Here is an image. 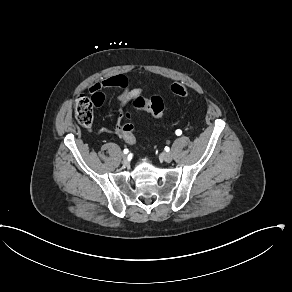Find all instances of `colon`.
Listing matches in <instances>:
<instances>
[{
    "mask_svg": "<svg viewBox=\"0 0 292 292\" xmlns=\"http://www.w3.org/2000/svg\"><path fill=\"white\" fill-rule=\"evenodd\" d=\"M175 84L174 82L172 83ZM173 92L177 95H184L185 91L179 83L173 87ZM189 93L188 91L186 92ZM104 95L102 92H94L91 96L80 95L74 102L73 115L80 125L90 127L94 119V109L102 105ZM134 108L138 111H147L156 118H161L164 114V102L159 96H153L149 99L139 97L134 101ZM127 122L124 124L122 133L123 139L127 144L135 143V137L132 133L133 124L131 123V113L126 114Z\"/></svg>",
    "mask_w": 292,
    "mask_h": 292,
    "instance_id": "colon-1",
    "label": "colon"
}]
</instances>
